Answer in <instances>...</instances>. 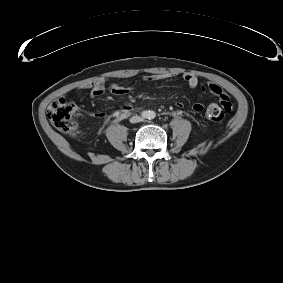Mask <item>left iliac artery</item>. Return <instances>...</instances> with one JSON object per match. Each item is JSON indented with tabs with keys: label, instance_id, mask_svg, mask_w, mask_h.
Masks as SVG:
<instances>
[{
	"label": "left iliac artery",
	"instance_id": "44dca946",
	"mask_svg": "<svg viewBox=\"0 0 283 283\" xmlns=\"http://www.w3.org/2000/svg\"><path fill=\"white\" fill-rule=\"evenodd\" d=\"M155 117V114L152 112L151 113V118H154Z\"/></svg>",
	"mask_w": 283,
	"mask_h": 283
}]
</instances>
